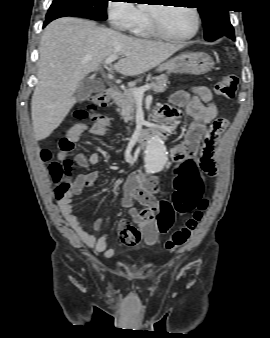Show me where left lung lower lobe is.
Instances as JSON below:
<instances>
[{"mask_svg": "<svg viewBox=\"0 0 270 338\" xmlns=\"http://www.w3.org/2000/svg\"><path fill=\"white\" fill-rule=\"evenodd\" d=\"M235 39L234 32H233V40Z\"/></svg>", "mask_w": 270, "mask_h": 338, "instance_id": "obj_1", "label": "left lung lower lobe"}]
</instances>
